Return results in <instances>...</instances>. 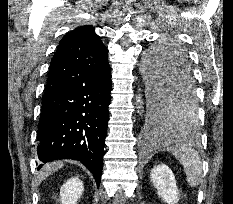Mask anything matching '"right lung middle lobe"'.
Listing matches in <instances>:
<instances>
[{"label":"right lung middle lobe","instance_id":"right-lung-middle-lobe-1","mask_svg":"<svg viewBox=\"0 0 233 204\" xmlns=\"http://www.w3.org/2000/svg\"><path fill=\"white\" fill-rule=\"evenodd\" d=\"M47 119L46 118H40L39 119V124H38V131H40L41 129H43L45 127V125L47 124Z\"/></svg>","mask_w":233,"mask_h":204}]
</instances>
